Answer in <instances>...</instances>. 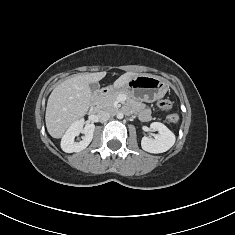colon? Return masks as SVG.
Segmentation results:
<instances>
[{
  "instance_id": "1",
  "label": "colon",
  "mask_w": 235,
  "mask_h": 235,
  "mask_svg": "<svg viewBox=\"0 0 235 235\" xmlns=\"http://www.w3.org/2000/svg\"><path fill=\"white\" fill-rule=\"evenodd\" d=\"M158 107L164 113L169 114L172 110V103L169 100L164 99L158 102ZM168 120L171 123H176L178 121V116L176 114H169Z\"/></svg>"
}]
</instances>
